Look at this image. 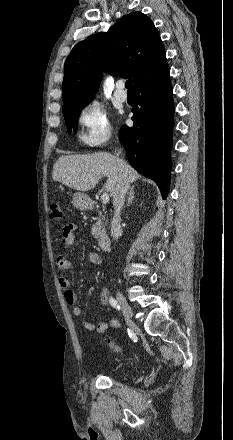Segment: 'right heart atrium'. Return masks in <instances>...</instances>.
Here are the masks:
<instances>
[{
  "mask_svg": "<svg viewBox=\"0 0 233 440\" xmlns=\"http://www.w3.org/2000/svg\"><path fill=\"white\" fill-rule=\"evenodd\" d=\"M79 140L90 148L104 145L111 137L112 127L106 110L97 102L86 103L78 115Z\"/></svg>",
  "mask_w": 233,
  "mask_h": 440,
  "instance_id": "right-heart-atrium-1",
  "label": "right heart atrium"
}]
</instances>
